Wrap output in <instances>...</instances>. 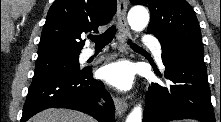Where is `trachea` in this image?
<instances>
[{"mask_svg": "<svg viewBox=\"0 0 221 122\" xmlns=\"http://www.w3.org/2000/svg\"><path fill=\"white\" fill-rule=\"evenodd\" d=\"M115 33L116 27L112 26L109 29H107L103 34L96 36L91 35L88 38L95 43L96 47H105L113 40ZM128 43L131 44L134 48L142 50V48L132 44L130 40H128Z\"/></svg>", "mask_w": 221, "mask_h": 122, "instance_id": "1", "label": "trachea"}]
</instances>
